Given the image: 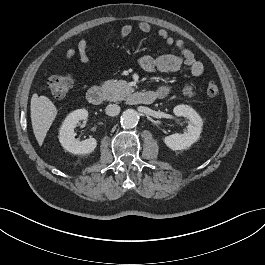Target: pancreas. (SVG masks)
Segmentation results:
<instances>
[{
    "label": "pancreas",
    "mask_w": 265,
    "mask_h": 265,
    "mask_svg": "<svg viewBox=\"0 0 265 265\" xmlns=\"http://www.w3.org/2000/svg\"><path fill=\"white\" fill-rule=\"evenodd\" d=\"M106 95V100L118 102L125 99L128 88L125 81L107 80L101 86Z\"/></svg>",
    "instance_id": "cf45deb5"
}]
</instances>
